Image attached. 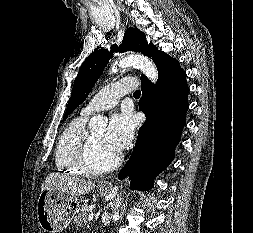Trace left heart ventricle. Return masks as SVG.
I'll return each instance as SVG.
<instances>
[{"mask_svg":"<svg viewBox=\"0 0 253 233\" xmlns=\"http://www.w3.org/2000/svg\"><path fill=\"white\" fill-rule=\"evenodd\" d=\"M105 131L99 130L92 133L94 141L93 158L96 163L104 164L117 155V153L108 149L103 141Z\"/></svg>","mask_w":253,"mask_h":233,"instance_id":"b2bd125f","label":"left heart ventricle"}]
</instances>
